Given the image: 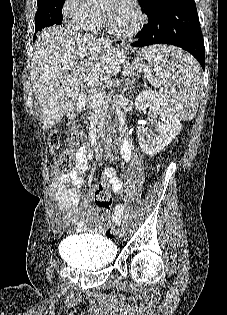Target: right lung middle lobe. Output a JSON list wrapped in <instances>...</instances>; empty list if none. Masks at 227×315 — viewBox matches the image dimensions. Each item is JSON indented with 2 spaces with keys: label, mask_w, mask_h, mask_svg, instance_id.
<instances>
[{
  "label": "right lung middle lobe",
  "mask_w": 227,
  "mask_h": 315,
  "mask_svg": "<svg viewBox=\"0 0 227 315\" xmlns=\"http://www.w3.org/2000/svg\"><path fill=\"white\" fill-rule=\"evenodd\" d=\"M65 0H38L35 14V30L62 23V6Z\"/></svg>",
  "instance_id": "1"
}]
</instances>
